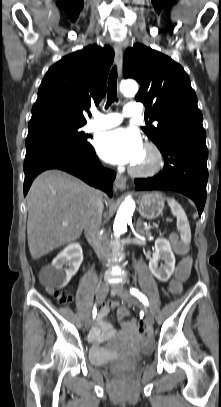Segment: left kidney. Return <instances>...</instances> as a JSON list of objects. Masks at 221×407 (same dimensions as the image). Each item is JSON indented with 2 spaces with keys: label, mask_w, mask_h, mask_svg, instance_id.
<instances>
[{
  "label": "left kidney",
  "mask_w": 221,
  "mask_h": 407,
  "mask_svg": "<svg viewBox=\"0 0 221 407\" xmlns=\"http://www.w3.org/2000/svg\"><path fill=\"white\" fill-rule=\"evenodd\" d=\"M158 259H162L164 264L158 266ZM151 273L161 282L169 280L175 269V256L172 252L169 241L165 238H158L155 241V250L149 261Z\"/></svg>",
  "instance_id": "left-kidney-1"
}]
</instances>
